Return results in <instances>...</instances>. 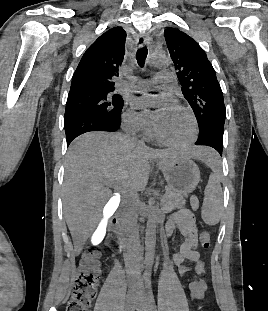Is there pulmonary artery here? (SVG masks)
<instances>
[{
	"label": "pulmonary artery",
	"instance_id": "pulmonary-artery-1",
	"mask_svg": "<svg viewBox=\"0 0 268 311\" xmlns=\"http://www.w3.org/2000/svg\"><path fill=\"white\" fill-rule=\"evenodd\" d=\"M173 78H174L173 72H171L170 70H162L158 72L154 78L150 79L137 78L134 87L137 89H146L153 86V84H155L156 82L162 83L171 82ZM124 87L128 88L129 86L127 83H125Z\"/></svg>",
	"mask_w": 268,
	"mask_h": 311
}]
</instances>
